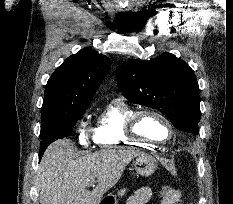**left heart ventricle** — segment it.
Masks as SVG:
<instances>
[{"label": "left heart ventricle", "instance_id": "obj_1", "mask_svg": "<svg viewBox=\"0 0 233 204\" xmlns=\"http://www.w3.org/2000/svg\"><path fill=\"white\" fill-rule=\"evenodd\" d=\"M138 131L154 140H164L168 136V129L165 123L153 115H144L140 118Z\"/></svg>", "mask_w": 233, "mask_h": 204}]
</instances>
